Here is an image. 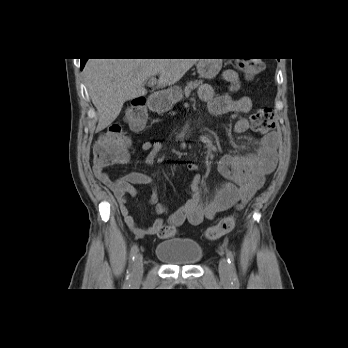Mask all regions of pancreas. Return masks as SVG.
<instances>
[{
	"label": "pancreas",
	"mask_w": 348,
	"mask_h": 348,
	"mask_svg": "<svg viewBox=\"0 0 348 348\" xmlns=\"http://www.w3.org/2000/svg\"><path fill=\"white\" fill-rule=\"evenodd\" d=\"M201 84L200 80L190 81L184 88V95L188 97L192 90L196 89ZM183 98V96L181 97Z\"/></svg>",
	"instance_id": "obj_1"
}]
</instances>
